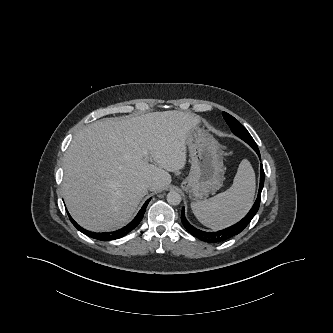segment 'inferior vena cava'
Masks as SVG:
<instances>
[{"label": "inferior vena cava", "instance_id": "obj_1", "mask_svg": "<svg viewBox=\"0 0 333 333\" xmlns=\"http://www.w3.org/2000/svg\"><path fill=\"white\" fill-rule=\"evenodd\" d=\"M153 185H154V182H153V181H149V182L146 184L147 188H151Z\"/></svg>", "mask_w": 333, "mask_h": 333}]
</instances>
